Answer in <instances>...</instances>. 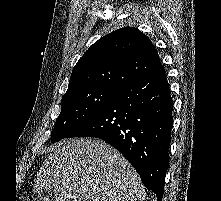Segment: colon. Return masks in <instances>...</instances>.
I'll return each mask as SVG.
<instances>
[{
  "mask_svg": "<svg viewBox=\"0 0 221 201\" xmlns=\"http://www.w3.org/2000/svg\"><path fill=\"white\" fill-rule=\"evenodd\" d=\"M21 201H37V200L31 195H26L22 198Z\"/></svg>",
  "mask_w": 221,
  "mask_h": 201,
  "instance_id": "obj_1",
  "label": "colon"
}]
</instances>
